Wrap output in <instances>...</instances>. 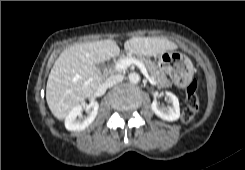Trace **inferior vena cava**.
Listing matches in <instances>:
<instances>
[{"instance_id": "1", "label": "inferior vena cava", "mask_w": 245, "mask_h": 170, "mask_svg": "<svg viewBox=\"0 0 245 170\" xmlns=\"http://www.w3.org/2000/svg\"><path fill=\"white\" fill-rule=\"evenodd\" d=\"M123 79H124L123 75H120V74L112 75L106 79L105 85L107 87H112V86L116 85L117 83L123 81Z\"/></svg>"}]
</instances>
